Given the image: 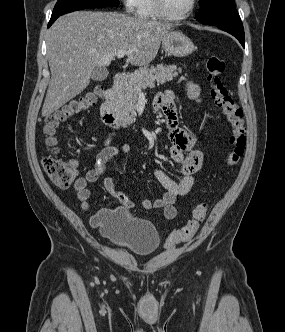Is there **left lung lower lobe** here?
<instances>
[{"label": "left lung lower lobe", "instance_id": "obj_1", "mask_svg": "<svg viewBox=\"0 0 285 332\" xmlns=\"http://www.w3.org/2000/svg\"><path fill=\"white\" fill-rule=\"evenodd\" d=\"M220 28L223 31H226L236 37L239 42L245 47V36L242 23H232V24H216L213 25Z\"/></svg>", "mask_w": 285, "mask_h": 332}]
</instances>
